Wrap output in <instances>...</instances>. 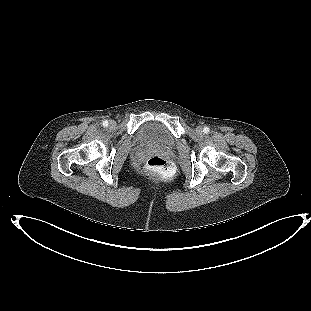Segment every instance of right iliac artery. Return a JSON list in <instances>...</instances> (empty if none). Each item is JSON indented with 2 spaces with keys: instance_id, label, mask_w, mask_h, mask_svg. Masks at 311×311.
Instances as JSON below:
<instances>
[{
  "instance_id": "obj_1",
  "label": "right iliac artery",
  "mask_w": 311,
  "mask_h": 311,
  "mask_svg": "<svg viewBox=\"0 0 311 311\" xmlns=\"http://www.w3.org/2000/svg\"><path fill=\"white\" fill-rule=\"evenodd\" d=\"M103 126H104V127H107V126H108V121H107V120L103 121Z\"/></svg>"
}]
</instances>
